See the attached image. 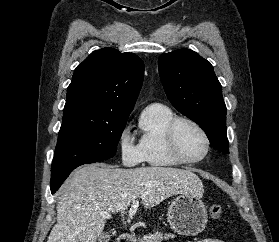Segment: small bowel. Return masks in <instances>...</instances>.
I'll use <instances>...</instances> for the list:
<instances>
[{"instance_id": "small-bowel-1", "label": "small bowel", "mask_w": 279, "mask_h": 242, "mask_svg": "<svg viewBox=\"0 0 279 242\" xmlns=\"http://www.w3.org/2000/svg\"><path fill=\"white\" fill-rule=\"evenodd\" d=\"M197 242H224V241H222L220 239H215V238H206V239H203V240H200Z\"/></svg>"}]
</instances>
